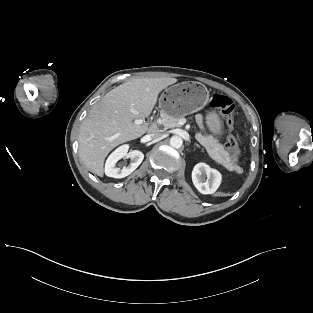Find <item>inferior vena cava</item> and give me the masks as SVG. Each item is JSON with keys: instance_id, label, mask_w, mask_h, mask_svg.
I'll return each mask as SVG.
<instances>
[{"instance_id": "inferior-vena-cava-1", "label": "inferior vena cava", "mask_w": 313, "mask_h": 313, "mask_svg": "<svg viewBox=\"0 0 313 313\" xmlns=\"http://www.w3.org/2000/svg\"><path fill=\"white\" fill-rule=\"evenodd\" d=\"M151 139H156L162 136V132L159 130H151L148 134Z\"/></svg>"}]
</instances>
